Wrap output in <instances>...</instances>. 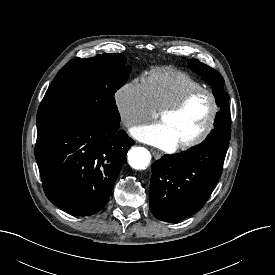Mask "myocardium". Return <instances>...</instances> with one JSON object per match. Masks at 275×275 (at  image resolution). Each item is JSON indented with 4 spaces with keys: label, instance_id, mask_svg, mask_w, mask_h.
<instances>
[{
    "label": "myocardium",
    "instance_id": "obj_1",
    "mask_svg": "<svg viewBox=\"0 0 275 275\" xmlns=\"http://www.w3.org/2000/svg\"><path fill=\"white\" fill-rule=\"evenodd\" d=\"M199 94H206L209 96L211 100L212 108H211L209 119L205 127L203 128V130L197 136H195L194 138L188 141L177 144L176 146L177 149L186 150V149L195 147L201 144L209 136V134L211 133V131L215 126V122L219 113V103H218L217 95L208 88H204V87L195 88L186 92L174 103L162 108L158 112L159 118L164 115L177 113L181 109H183L193 97Z\"/></svg>",
    "mask_w": 275,
    "mask_h": 275
}]
</instances>
